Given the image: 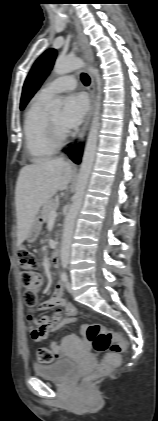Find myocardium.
I'll list each match as a JSON object with an SVG mask.
<instances>
[{"mask_svg":"<svg viewBox=\"0 0 158 421\" xmlns=\"http://www.w3.org/2000/svg\"><path fill=\"white\" fill-rule=\"evenodd\" d=\"M47 134L50 142L57 148L62 146L66 141L68 134L65 130H60L58 126L51 119L50 114H47Z\"/></svg>","mask_w":158,"mask_h":421,"instance_id":"1","label":"myocardium"}]
</instances>
